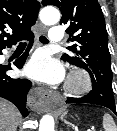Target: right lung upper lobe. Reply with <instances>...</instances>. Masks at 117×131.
Instances as JSON below:
<instances>
[{
  "instance_id": "1",
  "label": "right lung upper lobe",
  "mask_w": 117,
  "mask_h": 131,
  "mask_svg": "<svg viewBox=\"0 0 117 131\" xmlns=\"http://www.w3.org/2000/svg\"><path fill=\"white\" fill-rule=\"evenodd\" d=\"M39 8L36 0H0V51L32 34Z\"/></svg>"
}]
</instances>
